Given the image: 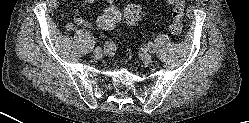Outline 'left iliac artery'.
Masks as SVG:
<instances>
[{"instance_id": "left-iliac-artery-1", "label": "left iliac artery", "mask_w": 249, "mask_h": 123, "mask_svg": "<svg viewBox=\"0 0 249 123\" xmlns=\"http://www.w3.org/2000/svg\"><path fill=\"white\" fill-rule=\"evenodd\" d=\"M148 50H149L151 53H154V52H155V49H154L152 43H149V44H148Z\"/></svg>"}]
</instances>
